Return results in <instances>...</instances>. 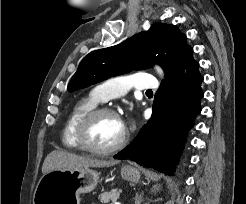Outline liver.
<instances>
[{"mask_svg":"<svg viewBox=\"0 0 246 204\" xmlns=\"http://www.w3.org/2000/svg\"><path fill=\"white\" fill-rule=\"evenodd\" d=\"M118 160H100L80 156L73 153L55 150L47 155L42 166L43 175L55 169H76L90 167H111L118 164Z\"/></svg>","mask_w":246,"mask_h":204,"instance_id":"6515ba94","label":"liver"}]
</instances>
